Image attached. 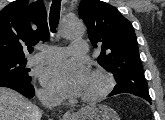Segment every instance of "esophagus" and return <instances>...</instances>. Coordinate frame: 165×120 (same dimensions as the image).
<instances>
[{"label": "esophagus", "instance_id": "esophagus-1", "mask_svg": "<svg viewBox=\"0 0 165 120\" xmlns=\"http://www.w3.org/2000/svg\"><path fill=\"white\" fill-rule=\"evenodd\" d=\"M73 114H71L70 112H66L64 115H63V120H73Z\"/></svg>", "mask_w": 165, "mask_h": 120}]
</instances>
